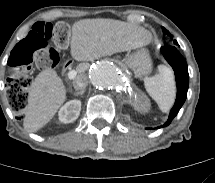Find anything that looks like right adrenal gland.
Here are the masks:
<instances>
[{"label":"right adrenal gland","mask_w":215,"mask_h":183,"mask_svg":"<svg viewBox=\"0 0 215 183\" xmlns=\"http://www.w3.org/2000/svg\"><path fill=\"white\" fill-rule=\"evenodd\" d=\"M84 92H85V89H82V90H80V91L75 92L74 95H75V96H78V95H81V96H82V95L84 94Z\"/></svg>","instance_id":"obj_1"}]
</instances>
